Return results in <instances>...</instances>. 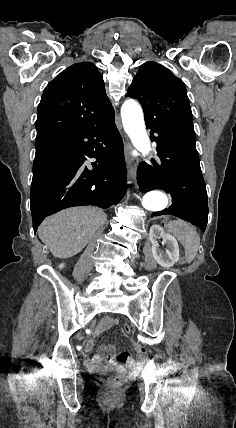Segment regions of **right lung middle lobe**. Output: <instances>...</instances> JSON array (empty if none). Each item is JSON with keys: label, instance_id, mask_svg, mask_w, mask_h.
Returning a JSON list of instances; mask_svg holds the SVG:
<instances>
[{"label": "right lung middle lobe", "instance_id": "right-lung-middle-lobe-1", "mask_svg": "<svg viewBox=\"0 0 236 428\" xmlns=\"http://www.w3.org/2000/svg\"><path fill=\"white\" fill-rule=\"evenodd\" d=\"M35 146H36V148L38 147V145H37V144H35Z\"/></svg>", "mask_w": 236, "mask_h": 428}]
</instances>
